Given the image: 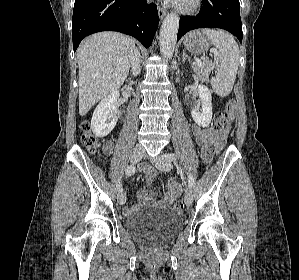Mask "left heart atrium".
I'll list each match as a JSON object with an SVG mask.
<instances>
[{
	"label": "left heart atrium",
	"instance_id": "left-heart-atrium-1",
	"mask_svg": "<svg viewBox=\"0 0 299 280\" xmlns=\"http://www.w3.org/2000/svg\"><path fill=\"white\" fill-rule=\"evenodd\" d=\"M168 1H172V2L177 3V2H180L181 0H168Z\"/></svg>",
	"mask_w": 299,
	"mask_h": 280
}]
</instances>
